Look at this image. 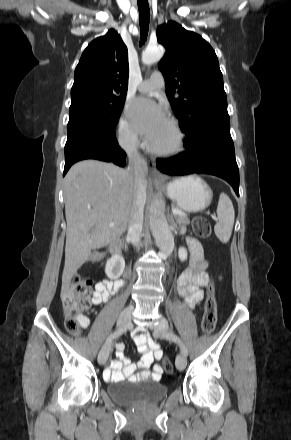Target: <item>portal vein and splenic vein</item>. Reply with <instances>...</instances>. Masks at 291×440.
<instances>
[{
    "label": "portal vein and splenic vein",
    "instance_id": "obj_1",
    "mask_svg": "<svg viewBox=\"0 0 291 440\" xmlns=\"http://www.w3.org/2000/svg\"><path fill=\"white\" fill-rule=\"evenodd\" d=\"M172 213H173L174 215L186 216L185 213H183V212L180 211L179 209H175V208L172 209ZM109 226H110V227H113V226H114V223H110Z\"/></svg>",
    "mask_w": 291,
    "mask_h": 440
}]
</instances>
